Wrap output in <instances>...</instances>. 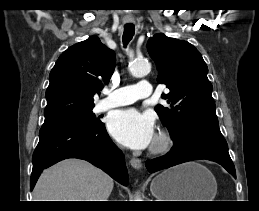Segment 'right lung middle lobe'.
<instances>
[{
  "mask_svg": "<svg viewBox=\"0 0 259 211\" xmlns=\"http://www.w3.org/2000/svg\"><path fill=\"white\" fill-rule=\"evenodd\" d=\"M56 124H66V125H74V126H80V127H92V126H100L103 123L100 121L99 118H96L95 114L92 113V110H89L83 113L70 116L58 122L43 125V126L56 125Z\"/></svg>",
  "mask_w": 259,
  "mask_h": 211,
  "instance_id": "obj_1",
  "label": "right lung middle lobe"
}]
</instances>
